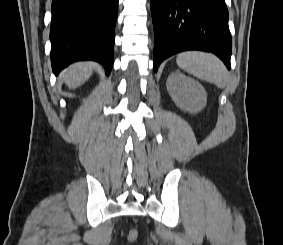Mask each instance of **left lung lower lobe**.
<instances>
[{"label": "left lung lower lobe", "mask_w": 283, "mask_h": 245, "mask_svg": "<svg viewBox=\"0 0 283 245\" xmlns=\"http://www.w3.org/2000/svg\"><path fill=\"white\" fill-rule=\"evenodd\" d=\"M154 71L173 54L201 50L216 54L230 69L232 39L224 0H151Z\"/></svg>", "instance_id": "0a47b994"}]
</instances>
